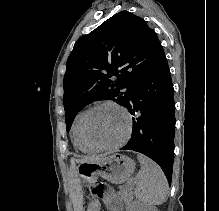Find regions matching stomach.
<instances>
[{"mask_svg": "<svg viewBox=\"0 0 219 211\" xmlns=\"http://www.w3.org/2000/svg\"><path fill=\"white\" fill-rule=\"evenodd\" d=\"M135 170V162L126 155L114 153L103 156L99 160L81 162L77 166V174L87 186L97 182L98 177L114 183L121 184L129 179ZM91 204L87 211H94Z\"/></svg>", "mask_w": 219, "mask_h": 211, "instance_id": "1", "label": "stomach"}]
</instances>
